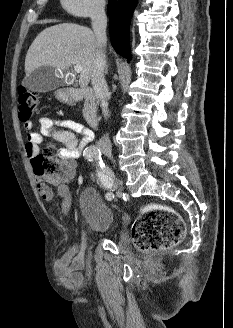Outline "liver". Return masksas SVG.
Here are the masks:
<instances>
[{"mask_svg": "<svg viewBox=\"0 0 233 328\" xmlns=\"http://www.w3.org/2000/svg\"><path fill=\"white\" fill-rule=\"evenodd\" d=\"M98 45L95 33L84 26L63 23L44 29L33 41L25 58V73L29 75L41 66L68 71L81 65L79 85L87 87Z\"/></svg>", "mask_w": 233, "mask_h": 328, "instance_id": "6515ba94", "label": "liver"}]
</instances>
